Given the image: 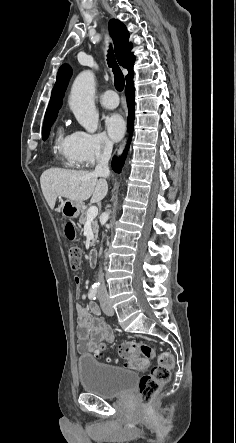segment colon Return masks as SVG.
Returning a JSON list of instances; mask_svg holds the SVG:
<instances>
[{
  "mask_svg": "<svg viewBox=\"0 0 236 443\" xmlns=\"http://www.w3.org/2000/svg\"><path fill=\"white\" fill-rule=\"evenodd\" d=\"M64 233L69 241H75L76 227L73 223L68 222L65 224ZM68 262L72 270L79 268L81 251L78 247L74 246L68 250ZM91 352L98 360L115 363V359L105 354V345L103 343L96 344ZM118 353L125 360L126 367L141 371L148 368L154 354L149 344L135 340L121 342L118 346ZM173 364V357L169 353H163L159 356L158 364L149 373L142 376L138 391L143 405L149 404L156 393L169 381L170 370Z\"/></svg>",
  "mask_w": 236,
  "mask_h": 443,
  "instance_id": "colon-1",
  "label": "colon"
}]
</instances>
